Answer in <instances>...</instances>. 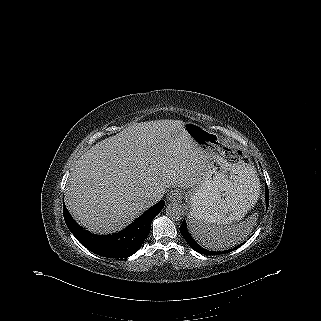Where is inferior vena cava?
<instances>
[{
    "label": "inferior vena cava",
    "mask_w": 321,
    "mask_h": 321,
    "mask_svg": "<svg viewBox=\"0 0 321 321\" xmlns=\"http://www.w3.org/2000/svg\"><path fill=\"white\" fill-rule=\"evenodd\" d=\"M161 197L163 196L160 194H152V195L146 196L144 199V202L146 203V205L150 207L155 203H157L161 199Z\"/></svg>",
    "instance_id": "obj_1"
}]
</instances>
